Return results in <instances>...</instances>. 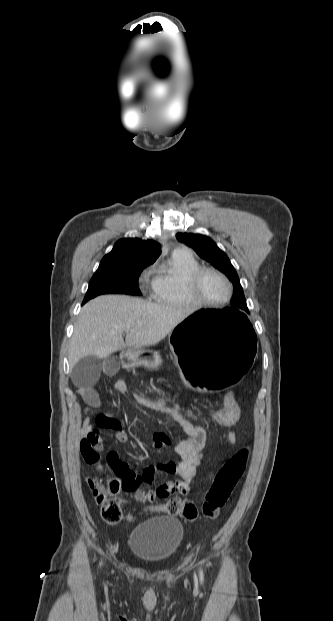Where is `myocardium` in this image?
Returning <instances> with one entry per match:
<instances>
[{
  "instance_id": "1",
  "label": "myocardium",
  "mask_w": 333,
  "mask_h": 621,
  "mask_svg": "<svg viewBox=\"0 0 333 621\" xmlns=\"http://www.w3.org/2000/svg\"><path fill=\"white\" fill-rule=\"evenodd\" d=\"M207 273H212V274L219 276L226 283L227 288H228V293H227V296L223 300L209 301V300L204 299L199 294L198 292L199 282L201 278L203 277V275ZM187 291L194 304L202 305V306L217 307V306H223L230 301L233 295V284L230 281V279L220 270L216 268H212V267H202V268H199L197 271H195L190 276L187 282Z\"/></svg>"
}]
</instances>
